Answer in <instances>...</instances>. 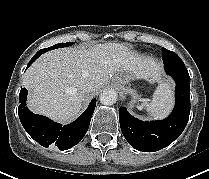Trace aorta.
Here are the masks:
<instances>
[{
  "label": "aorta",
  "mask_w": 209,
  "mask_h": 179,
  "mask_svg": "<svg viewBox=\"0 0 209 179\" xmlns=\"http://www.w3.org/2000/svg\"><path fill=\"white\" fill-rule=\"evenodd\" d=\"M100 101L104 105H113L117 101V94L113 90H104L100 95Z\"/></svg>",
  "instance_id": "1"
}]
</instances>
